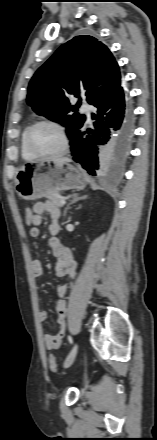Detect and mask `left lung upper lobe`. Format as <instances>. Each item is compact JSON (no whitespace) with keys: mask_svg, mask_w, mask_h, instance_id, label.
I'll list each match as a JSON object with an SVG mask.
<instances>
[{"mask_svg":"<svg viewBox=\"0 0 157 440\" xmlns=\"http://www.w3.org/2000/svg\"><path fill=\"white\" fill-rule=\"evenodd\" d=\"M120 86V69L107 46L92 36L81 35L63 44L35 72L27 103L37 114L62 123L71 140L85 116L77 113L81 99L71 106L68 98L84 95L94 105Z\"/></svg>","mask_w":157,"mask_h":440,"instance_id":"left-lung-upper-lobe-1","label":"left lung upper lobe"}]
</instances>
